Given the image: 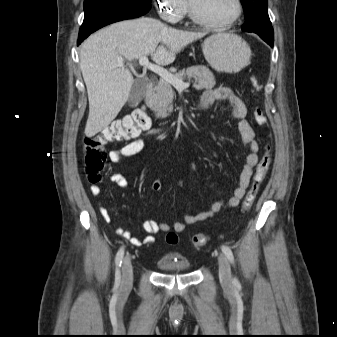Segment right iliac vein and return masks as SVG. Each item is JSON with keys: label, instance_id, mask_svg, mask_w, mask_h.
I'll return each mask as SVG.
<instances>
[{"label": "right iliac vein", "instance_id": "right-iliac-vein-1", "mask_svg": "<svg viewBox=\"0 0 337 337\" xmlns=\"http://www.w3.org/2000/svg\"><path fill=\"white\" fill-rule=\"evenodd\" d=\"M133 281V269H132V263L130 256H126L123 259L122 263V283H121V289H120V295L121 297H125L132 286Z\"/></svg>", "mask_w": 337, "mask_h": 337}]
</instances>
